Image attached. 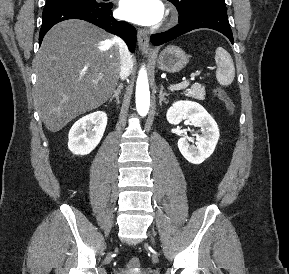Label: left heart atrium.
<instances>
[{
  "instance_id": "obj_1",
  "label": "left heart atrium",
  "mask_w": 289,
  "mask_h": 274,
  "mask_svg": "<svg viewBox=\"0 0 289 274\" xmlns=\"http://www.w3.org/2000/svg\"><path fill=\"white\" fill-rule=\"evenodd\" d=\"M120 16L140 25H153L163 16V6L159 0H120Z\"/></svg>"
}]
</instances>
